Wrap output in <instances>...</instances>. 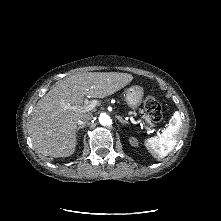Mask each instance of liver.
<instances>
[{
	"label": "liver",
	"mask_w": 221,
	"mask_h": 221,
	"mask_svg": "<svg viewBox=\"0 0 221 221\" xmlns=\"http://www.w3.org/2000/svg\"><path fill=\"white\" fill-rule=\"evenodd\" d=\"M132 80L127 73L88 72L69 76L54 86L31 115L29 131L38 152L52 157L72 155L77 144V121L87 113L77 109L84 97L105 98Z\"/></svg>",
	"instance_id": "liver-1"
}]
</instances>
